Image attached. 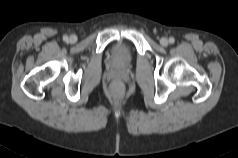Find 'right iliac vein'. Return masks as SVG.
I'll list each match as a JSON object with an SVG mask.
<instances>
[{"label":"right iliac vein","mask_w":238,"mask_h":158,"mask_svg":"<svg viewBox=\"0 0 238 158\" xmlns=\"http://www.w3.org/2000/svg\"><path fill=\"white\" fill-rule=\"evenodd\" d=\"M76 40H77L76 36L73 35L70 37V42L74 43V42H76Z\"/></svg>","instance_id":"63e3f726"}]
</instances>
